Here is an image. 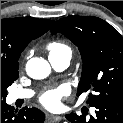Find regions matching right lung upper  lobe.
<instances>
[{"label": "right lung upper lobe", "instance_id": "cb5924a9", "mask_svg": "<svg viewBox=\"0 0 123 123\" xmlns=\"http://www.w3.org/2000/svg\"><path fill=\"white\" fill-rule=\"evenodd\" d=\"M54 21L29 17L1 20V77L19 69L21 52L33 39L47 32Z\"/></svg>", "mask_w": 123, "mask_h": 123}]
</instances>
